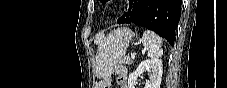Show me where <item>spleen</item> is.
I'll list each match as a JSON object with an SVG mask.
<instances>
[{
    "instance_id": "3e777b00",
    "label": "spleen",
    "mask_w": 227,
    "mask_h": 88,
    "mask_svg": "<svg viewBox=\"0 0 227 88\" xmlns=\"http://www.w3.org/2000/svg\"><path fill=\"white\" fill-rule=\"evenodd\" d=\"M140 41L145 47L148 57L159 58L162 56V38L159 37L156 33L147 30L143 33Z\"/></svg>"
}]
</instances>
